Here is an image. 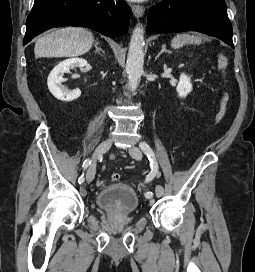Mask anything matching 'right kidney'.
I'll return each instance as SVG.
<instances>
[{
  "instance_id": "obj_1",
  "label": "right kidney",
  "mask_w": 255,
  "mask_h": 272,
  "mask_svg": "<svg viewBox=\"0 0 255 272\" xmlns=\"http://www.w3.org/2000/svg\"><path fill=\"white\" fill-rule=\"evenodd\" d=\"M85 66H87V61L82 58L67 59L56 65L50 72L47 80L48 89L52 95L58 100L66 102L73 101L80 97L81 91L79 89L69 91L62 86V82L65 81L63 75L64 73L70 72V69L74 67L83 68Z\"/></svg>"
}]
</instances>
